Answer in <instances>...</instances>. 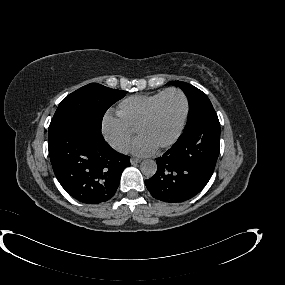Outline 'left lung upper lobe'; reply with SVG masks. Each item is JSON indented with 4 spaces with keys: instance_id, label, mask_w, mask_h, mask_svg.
Wrapping results in <instances>:
<instances>
[{
    "instance_id": "obj_1",
    "label": "left lung upper lobe",
    "mask_w": 285,
    "mask_h": 285,
    "mask_svg": "<svg viewBox=\"0 0 285 285\" xmlns=\"http://www.w3.org/2000/svg\"><path fill=\"white\" fill-rule=\"evenodd\" d=\"M168 84L178 85L185 91L189 98V113L185 129L202 117L216 114L207 95L198 88L181 81H177L176 83L171 81Z\"/></svg>"
}]
</instances>
